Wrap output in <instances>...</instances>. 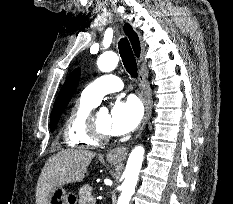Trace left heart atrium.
<instances>
[{"mask_svg": "<svg viewBox=\"0 0 233 204\" xmlns=\"http://www.w3.org/2000/svg\"><path fill=\"white\" fill-rule=\"evenodd\" d=\"M143 109L133 96L117 100L110 112V134L118 136L130 133L141 121Z\"/></svg>", "mask_w": 233, "mask_h": 204, "instance_id": "left-heart-atrium-1", "label": "left heart atrium"}]
</instances>
